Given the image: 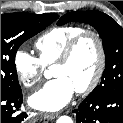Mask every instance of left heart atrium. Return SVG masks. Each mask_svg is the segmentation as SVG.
I'll list each match as a JSON object with an SVG mask.
<instances>
[{"label": "left heart atrium", "mask_w": 123, "mask_h": 123, "mask_svg": "<svg viewBox=\"0 0 123 123\" xmlns=\"http://www.w3.org/2000/svg\"><path fill=\"white\" fill-rule=\"evenodd\" d=\"M75 89L65 77H56L47 82L29 98L30 105L41 111H57L73 97Z\"/></svg>", "instance_id": "1"}]
</instances>
